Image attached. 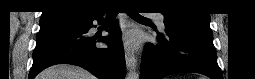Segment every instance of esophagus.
<instances>
[{
	"label": "esophagus",
	"instance_id": "1",
	"mask_svg": "<svg viewBox=\"0 0 255 79\" xmlns=\"http://www.w3.org/2000/svg\"><path fill=\"white\" fill-rule=\"evenodd\" d=\"M125 50V60H126V66L129 71H135V66L137 59L133 53H131L127 47L124 48Z\"/></svg>",
	"mask_w": 255,
	"mask_h": 79
}]
</instances>
